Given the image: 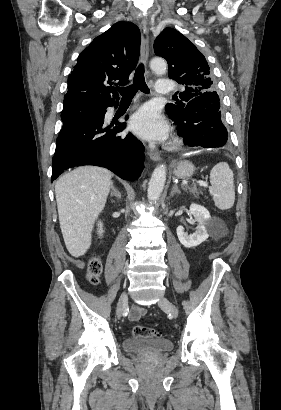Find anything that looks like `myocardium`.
<instances>
[{"label":"myocardium","mask_w":281,"mask_h":410,"mask_svg":"<svg viewBox=\"0 0 281 410\" xmlns=\"http://www.w3.org/2000/svg\"><path fill=\"white\" fill-rule=\"evenodd\" d=\"M181 141L179 138H174L169 145L170 149H176L180 145Z\"/></svg>","instance_id":"1"}]
</instances>
